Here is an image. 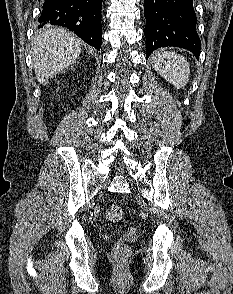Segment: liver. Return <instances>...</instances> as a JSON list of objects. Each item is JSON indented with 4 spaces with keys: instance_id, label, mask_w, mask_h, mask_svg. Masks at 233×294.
Instances as JSON below:
<instances>
[{
    "instance_id": "6515ba94",
    "label": "liver",
    "mask_w": 233,
    "mask_h": 294,
    "mask_svg": "<svg viewBox=\"0 0 233 294\" xmlns=\"http://www.w3.org/2000/svg\"><path fill=\"white\" fill-rule=\"evenodd\" d=\"M81 41L63 28L47 26L35 37L32 60L40 84L63 72L79 57Z\"/></svg>"
}]
</instances>
